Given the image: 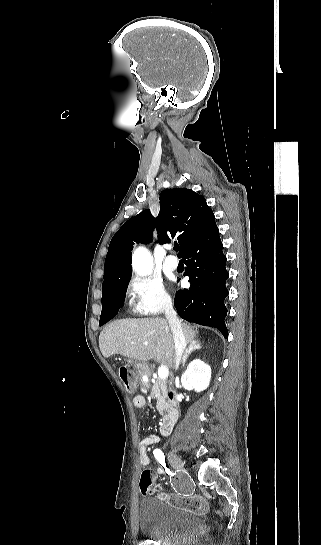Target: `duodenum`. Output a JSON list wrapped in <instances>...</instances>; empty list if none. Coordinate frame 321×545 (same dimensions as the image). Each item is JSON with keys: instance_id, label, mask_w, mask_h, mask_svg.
<instances>
[{"instance_id": "duodenum-1", "label": "duodenum", "mask_w": 321, "mask_h": 545, "mask_svg": "<svg viewBox=\"0 0 321 545\" xmlns=\"http://www.w3.org/2000/svg\"><path fill=\"white\" fill-rule=\"evenodd\" d=\"M179 417V410L177 407L173 406L169 408L164 417L162 418L160 424V433L162 435H169L172 432V429Z\"/></svg>"}]
</instances>
